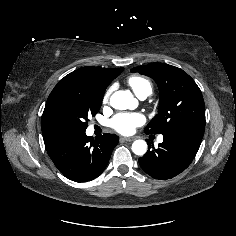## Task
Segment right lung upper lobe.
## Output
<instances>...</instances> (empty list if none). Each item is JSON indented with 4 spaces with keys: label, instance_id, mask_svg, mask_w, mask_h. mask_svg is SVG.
<instances>
[{
    "label": "right lung upper lobe",
    "instance_id": "1",
    "mask_svg": "<svg viewBox=\"0 0 236 236\" xmlns=\"http://www.w3.org/2000/svg\"><path fill=\"white\" fill-rule=\"evenodd\" d=\"M122 71L123 68L83 67L68 74L62 80H71L81 86L90 87L105 92V89L110 82ZM42 133L46 148L51 147L56 142L63 139L61 137L47 135L44 132Z\"/></svg>",
    "mask_w": 236,
    "mask_h": 236
}]
</instances>
